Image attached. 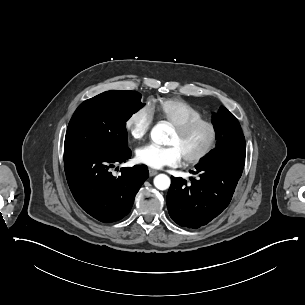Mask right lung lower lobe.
<instances>
[{
    "label": "right lung lower lobe",
    "mask_w": 305,
    "mask_h": 305,
    "mask_svg": "<svg viewBox=\"0 0 305 305\" xmlns=\"http://www.w3.org/2000/svg\"><path fill=\"white\" fill-rule=\"evenodd\" d=\"M130 157L128 147L113 153L86 149L64 151L70 190L80 207L98 221L109 223L124 218L148 178L144 165L124 168L118 177L112 175L114 164L126 162Z\"/></svg>",
    "instance_id": "1"
}]
</instances>
